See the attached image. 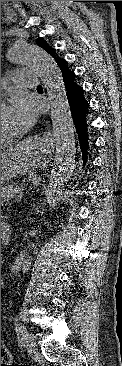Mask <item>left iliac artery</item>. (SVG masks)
Masks as SVG:
<instances>
[{"label":"left iliac artery","mask_w":122,"mask_h":366,"mask_svg":"<svg viewBox=\"0 0 122 366\" xmlns=\"http://www.w3.org/2000/svg\"><path fill=\"white\" fill-rule=\"evenodd\" d=\"M16 330L20 333V335L22 336L21 339H25L27 333L24 332V328L20 325V324H16Z\"/></svg>","instance_id":"left-iliac-artery-1"}]
</instances>
